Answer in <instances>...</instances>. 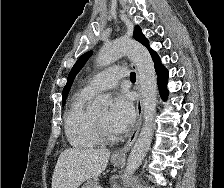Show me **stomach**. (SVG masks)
I'll return each instance as SVG.
<instances>
[{
  "label": "stomach",
  "mask_w": 224,
  "mask_h": 188,
  "mask_svg": "<svg viewBox=\"0 0 224 188\" xmlns=\"http://www.w3.org/2000/svg\"><path fill=\"white\" fill-rule=\"evenodd\" d=\"M123 159H115V158H112V163L115 165V166H118L122 163Z\"/></svg>",
  "instance_id": "stomach-1"
}]
</instances>
